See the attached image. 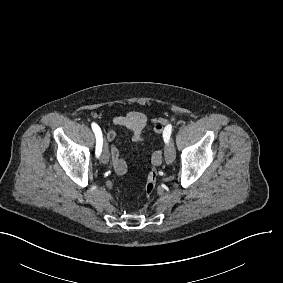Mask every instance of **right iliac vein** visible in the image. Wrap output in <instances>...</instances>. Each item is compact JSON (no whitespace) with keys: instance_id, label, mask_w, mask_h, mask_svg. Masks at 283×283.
<instances>
[{"instance_id":"63e3f726","label":"right iliac vein","mask_w":283,"mask_h":283,"mask_svg":"<svg viewBox=\"0 0 283 283\" xmlns=\"http://www.w3.org/2000/svg\"><path fill=\"white\" fill-rule=\"evenodd\" d=\"M101 162L103 164H107L109 162V152L107 149V145L104 143L102 154H101Z\"/></svg>"}]
</instances>
